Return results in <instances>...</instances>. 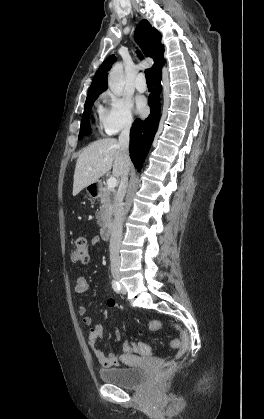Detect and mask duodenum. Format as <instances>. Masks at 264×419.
<instances>
[{"label": "duodenum", "mask_w": 264, "mask_h": 419, "mask_svg": "<svg viewBox=\"0 0 264 419\" xmlns=\"http://www.w3.org/2000/svg\"><path fill=\"white\" fill-rule=\"evenodd\" d=\"M92 194L96 195L98 193V186L94 185L91 188ZM113 234V224L112 223H106L102 229H101V237L104 240H109L112 237Z\"/></svg>", "instance_id": "obj_1"}]
</instances>
